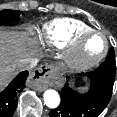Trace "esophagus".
I'll list each match as a JSON object with an SVG mask.
<instances>
[{"label": "esophagus", "mask_w": 117, "mask_h": 117, "mask_svg": "<svg viewBox=\"0 0 117 117\" xmlns=\"http://www.w3.org/2000/svg\"><path fill=\"white\" fill-rule=\"evenodd\" d=\"M54 70L52 65H41L30 74V86L37 91L45 90L50 85V79Z\"/></svg>", "instance_id": "obj_1"}]
</instances>
